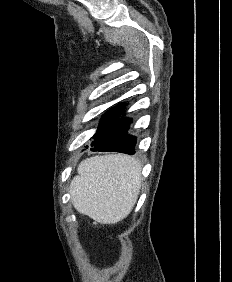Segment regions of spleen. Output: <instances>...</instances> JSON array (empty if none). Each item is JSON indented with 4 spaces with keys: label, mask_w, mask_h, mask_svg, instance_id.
<instances>
[{
    "label": "spleen",
    "mask_w": 232,
    "mask_h": 282,
    "mask_svg": "<svg viewBox=\"0 0 232 282\" xmlns=\"http://www.w3.org/2000/svg\"><path fill=\"white\" fill-rule=\"evenodd\" d=\"M70 185L76 210L102 224L123 220L134 207L141 186V165L125 155L82 161Z\"/></svg>",
    "instance_id": "1"
}]
</instances>
